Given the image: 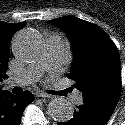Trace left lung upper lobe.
<instances>
[{"instance_id": "left-lung-upper-lobe-1", "label": "left lung upper lobe", "mask_w": 125, "mask_h": 125, "mask_svg": "<svg viewBox=\"0 0 125 125\" xmlns=\"http://www.w3.org/2000/svg\"><path fill=\"white\" fill-rule=\"evenodd\" d=\"M72 42L70 79L82 92L83 103L115 109L121 93V63L117 47L97 25L74 16L50 20Z\"/></svg>"}]
</instances>
